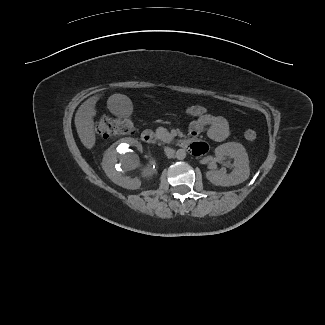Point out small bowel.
Segmentation results:
<instances>
[{
	"instance_id": "c3829d8e",
	"label": "small bowel",
	"mask_w": 325,
	"mask_h": 325,
	"mask_svg": "<svg viewBox=\"0 0 325 325\" xmlns=\"http://www.w3.org/2000/svg\"><path fill=\"white\" fill-rule=\"evenodd\" d=\"M204 131L209 138L215 141L225 140L230 133L226 119L222 116L212 114L208 118L195 117L189 126V133L192 138H196ZM189 149L193 155L200 156L207 152L208 145L203 141H195L191 143Z\"/></svg>"
}]
</instances>
